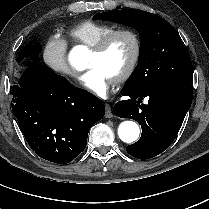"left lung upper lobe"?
I'll use <instances>...</instances> for the list:
<instances>
[{
	"instance_id": "left-lung-upper-lobe-1",
	"label": "left lung upper lobe",
	"mask_w": 209,
	"mask_h": 209,
	"mask_svg": "<svg viewBox=\"0 0 209 209\" xmlns=\"http://www.w3.org/2000/svg\"><path fill=\"white\" fill-rule=\"evenodd\" d=\"M93 19L133 27L140 34L138 65L125 86L140 88L192 75L186 46L175 28L162 17L138 9L96 14Z\"/></svg>"
}]
</instances>
